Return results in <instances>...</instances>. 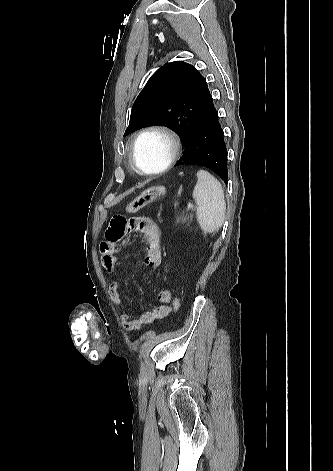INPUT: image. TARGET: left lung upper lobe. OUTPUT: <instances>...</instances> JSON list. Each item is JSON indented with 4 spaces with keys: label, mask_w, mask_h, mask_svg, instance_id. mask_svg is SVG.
<instances>
[{
    "label": "left lung upper lobe",
    "mask_w": 333,
    "mask_h": 471,
    "mask_svg": "<svg viewBox=\"0 0 333 471\" xmlns=\"http://www.w3.org/2000/svg\"><path fill=\"white\" fill-rule=\"evenodd\" d=\"M211 100L206 79L182 61L166 63L148 80L134 102L124 136L150 125H167L187 145Z\"/></svg>",
    "instance_id": "left-lung-upper-lobe-1"
}]
</instances>
